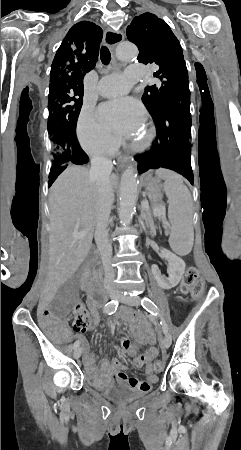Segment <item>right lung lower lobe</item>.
I'll return each mask as SVG.
<instances>
[{"mask_svg": "<svg viewBox=\"0 0 241 450\" xmlns=\"http://www.w3.org/2000/svg\"><path fill=\"white\" fill-rule=\"evenodd\" d=\"M62 134L64 135L69 147H70V162L64 166H60L58 168L52 169L49 174V182L48 187L52 185V183L56 180L59 174H61L64 169L69 164H77L81 165L84 163H87L89 158L86 155V153L81 149L75 130L73 131H63Z\"/></svg>", "mask_w": 241, "mask_h": 450, "instance_id": "1", "label": "right lung lower lobe"}]
</instances>
